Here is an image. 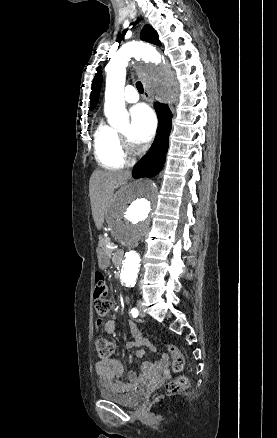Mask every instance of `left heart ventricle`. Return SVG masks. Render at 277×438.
Segmentation results:
<instances>
[{"mask_svg":"<svg viewBox=\"0 0 277 438\" xmlns=\"http://www.w3.org/2000/svg\"><path fill=\"white\" fill-rule=\"evenodd\" d=\"M122 134L129 136L130 135V129H126L124 131H122Z\"/></svg>","mask_w":277,"mask_h":438,"instance_id":"1","label":"left heart ventricle"}]
</instances>
